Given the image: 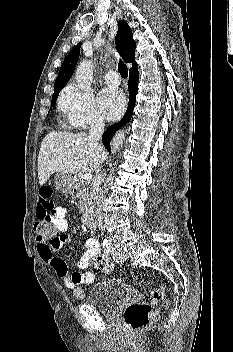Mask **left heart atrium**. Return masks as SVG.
<instances>
[{"label": "left heart atrium", "instance_id": "1", "mask_svg": "<svg viewBox=\"0 0 233 352\" xmlns=\"http://www.w3.org/2000/svg\"><path fill=\"white\" fill-rule=\"evenodd\" d=\"M98 103L102 114L109 120H115L123 113L126 100L120 90L110 88L99 94Z\"/></svg>", "mask_w": 233, "mask_h": 352}]
</instances>
